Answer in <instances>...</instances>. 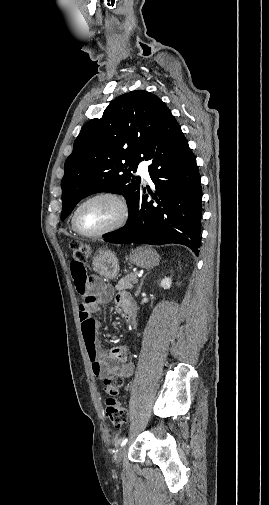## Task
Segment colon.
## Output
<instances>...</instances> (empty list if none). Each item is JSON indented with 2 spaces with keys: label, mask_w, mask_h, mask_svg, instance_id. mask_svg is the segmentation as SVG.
Instances as JSON below:
<instances>
[{
  "label": "colon",
  "mask_w": 269,
  "mask_h": 505,
  "mask_svg": "<svg viewBox=\"0 0 269 505\" xmlns=\"http://www.w3.org/2000/svg\"><path fill=\"white\" fill-rule=\"evenodd\" d=\"M91 253L92 249L89 246L75 244L73 247V259H82L83 262H85ZM83 269L85 270V267H83ZM92 298L96 297L92 296ZM122 383L123 381L117 376H110L104 380L105 391L108 394L105 403L106 414L111 424L117 428L124 426L128 420L127 410L115 398V395Z\"/></svg>",
  "instance_id": "5ec220e1"
}]
</instances>
